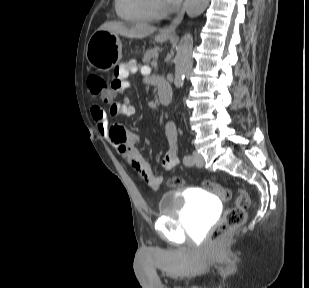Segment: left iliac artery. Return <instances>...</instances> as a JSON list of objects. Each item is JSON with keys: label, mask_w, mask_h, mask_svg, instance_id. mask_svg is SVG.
<instances>
[{"label": "left iliac artery", "mask_w": 309, "mask_h": 288, "mask_svg": "<svg viewBox=\"0 0 309 288\" xmlns=\"http://www.w3.org/2000/svg\"><path fill=\"white\" fill-rule=\"evenodd\" d=\"M183 163L186 166L192 165L193 164V157L191 155H185L184 158H183Z\"/></svg>", "instance_id": "44dca946"}]
</instances>
